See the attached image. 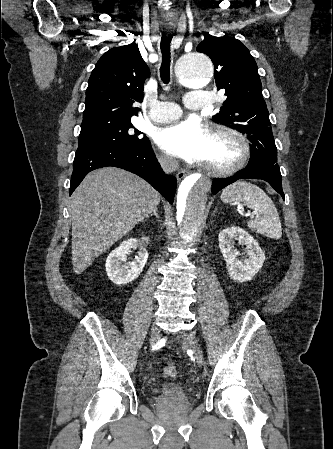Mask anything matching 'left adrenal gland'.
<instances>
[{"instance_id": "left-adrenal-gland-1", "label": "left adrenal gland", "mask_w": 333, "mask_h": 449, "mask_svg": "<svg viewBox=\"0 0 333 449\" xmlns=\"http://www.w3.org/2000/svg\"><path fill=\"white\" fill-rule=\"evenodd\" d=\"M216 211H217V208H215V209H214V211H213V215H215V212H216Z\"/></svg>"}]
</instances>
